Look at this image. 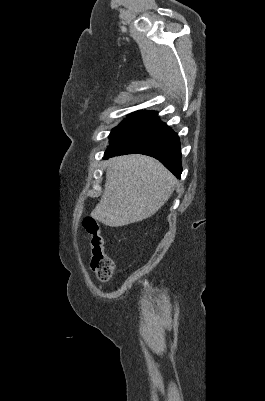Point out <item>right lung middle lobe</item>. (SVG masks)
Returning <instances> with one entry per match:
<instances>
[{"label":"right lung middle lobe","mask_w":265,"mask_h":401,"mask_svg":"<svg viewBox=\"0 0 265 401\" xmlns=\"http://www.w3.org/2000/svg\"><path fill=\"white\" fill-rule=\"evenodd\" d=\"M157 112L155 111H145V110H140L132 113L129 115L121 124H119L117 127H115L110 135L109 138L112 141L114 138L119 136L121 133L127 131L131 127L150 119L151 117L155 116Z\"/></svg>","instance_id":"right-lung-middle-lobe-1"}]
</instances>
